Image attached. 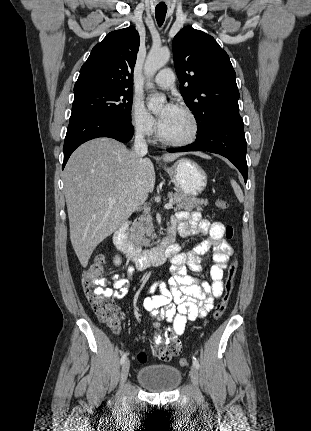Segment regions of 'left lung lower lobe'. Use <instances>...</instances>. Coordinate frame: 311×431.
<instances>
[{"label":"left lung lower lobe","instance_id":"0a47b994","mask_svg":"<svg viewBox=\"0 0 311 431\" xmlns=\"http://www.w3.org/2000/svg\"><path fill=\"white\" fill-rule=\"evenodd\" d=\"M168 152L209 151L228 158L241 172L245 182L248 177L246 140L240 115H229L215 121L197 135L196 142Z\"/></svg>","mask_w":311,"mask_h":431}]
</instances>
